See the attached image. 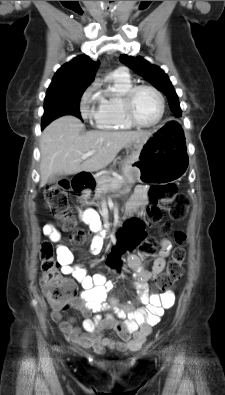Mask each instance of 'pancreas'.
<instances>
[{
    "label": "pancreas",
    "mask_w": 225,
    "mask_h": 395,
    "mask_svg": "<svg viewBox=\"0 0 225 395\" xmlns=\"http://www.w3.org/2000/svg\"><path fill=\"white\" fill-rule=\"evenodd\" d=\"M97 187L95 189V198L99 199L103 193L112 191L129 192V182L124 177H111L108 173H104L97 177ZM116 184L115 186L113 184Z\"/></svg>",
    "instance_id": "obj_1"
}]
</instances>
